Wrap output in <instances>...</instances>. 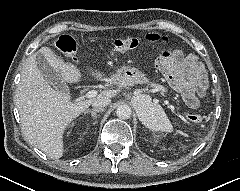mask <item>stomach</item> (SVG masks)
Segmentation results:
<instances>
[{
    "mask_svg": "<svg viewBox=\"0 0 240 191\" xmlns=\"http://www.w3.org/2000/svg\"><path fill=\"white\" fill-rule=\"evenodd\" d=\"M111 78H114L122 86H132L135 84H146L149 82L148 78L144 73L139 71L137 68L124 66L112 75ZM138 111L140 115L145 112V107L140 104H137Z\"/></svg>",
    "mask_w": 240,
    "mask_h": 191,
    "instance_id": "stomach-1",
    "label": "stomach"
}]
</instances>
